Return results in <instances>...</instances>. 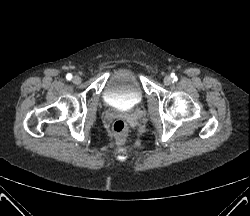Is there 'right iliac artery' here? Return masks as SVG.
Wrapping results in <instances>:
<instances>
[{
	"mask_svg": "<svg viewBox=\"0 0 250 216\" xmlns=\"http://www.w3.org/2000/svg\"><path fill=\"white\" fill-rule=\"evenodd\" d=\"M66 79H67V80H71V79H72V74H70V73L67 74V75H66Z\"/></svg>",
	"mask_w": 250,
	"mask_h": 216,
	"instance_id": "right-iliac-artery-1",
	"label": "right iliac artery"
}]
</instances>
